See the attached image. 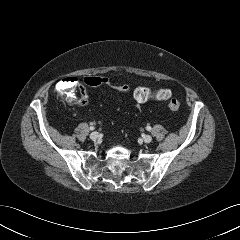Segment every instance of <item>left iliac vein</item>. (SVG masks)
<instances>
[{"label":"left iliac vein","mask_w":240,"mask_h":240,"mask_svg":"<svg viewBox=\"0 0 240 240\" xmlns=\"http://www.w3.org/2000/svg\"><path fill=\"white\" fill-rule=\"evenodd\" d=\"M143 141L145 143H150L152 141V137L150 135H144L143 136Z\"/></svg>","instance_id":"obj_1"}]
</instances>
